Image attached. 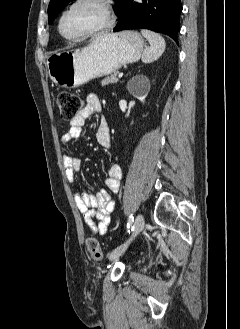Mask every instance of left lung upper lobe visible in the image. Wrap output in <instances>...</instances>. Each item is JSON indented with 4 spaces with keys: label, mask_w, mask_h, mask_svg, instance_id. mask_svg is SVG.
Here are the masks:
<instances>
[{
    "label": "left lung upper lobe",
    "mask_w": 240,
    "mask_h": 329,
    "mask_svg": "<svg viewBox=\"0 0 240 329\" xmlns=\"http://www.w3.org/2000/svg\"><path fill=\"white\" fill-rule=\"evenodd\" d=\"M73 0H51L48 6V20L51 24L57 15ZM126 0H114L116 7L114 11L117 16L121 15Z\"/></svg>",
    "instance_id": "1"
}]
</instances>
